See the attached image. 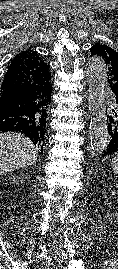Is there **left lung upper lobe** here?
Returning a JSON list of instances; mask_svg holds the SVG:
<instances>
[{"instance_id":"5c2ea615","label":"left lung upper lobe","mask_w":118,"mask_h":269,"mask_svg":"<svg viewBox=\"0 0 118 269\" xmlns=\"http://www.w3.org/2000/svg\"><path fill=\"white\" fill-rule=\"evenodd\" d=\"M92 56L101 57L107 67V77L110 88L115 95V98L118 99V52L112 48L96 43L90 48Z\"/></svg>"}]
</instances>
